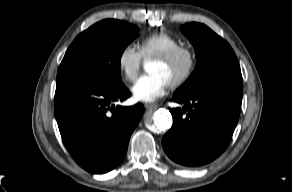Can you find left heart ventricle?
Segmentation results:
<instances>
[{
    "instance_id": "b2bd125f",
    "label": "left heart ventricle",
    "mask_w": 292,
    "mask_h": 192,
    "mask_svg": "<svg viewBox=\"0 0 292 192\" xmlns=\"http://www.w3.org/2000/svg\"><path fill=\"white\" fill-rule=\"evenodd\" d=\"M185 64L186 61L184 58H180L173 63H164L153 59L149 62L147 70L149 73L161 74L168 82H170L182 73Z\"/></svg>"
}]
</instances>
